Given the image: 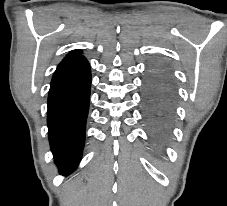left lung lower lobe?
<instances>
[{
  "mask_svg": "<svg viewBox=\"0 0 227 206\" xmlns=\"http://www.w3.org/2000/svg\"><path fill=\"white\" fill-rule=\"evenodd\" d=\"M173 98L174 88L168 70L160 64L151 65L143 83V109L150 138L157 144L169 134Z\"/></svg>",
  "mask_w": 227,
  "mask_h": 206,
  "instance_id": "1",
  "label": "left lung lower lobe"
}]
</instances>
